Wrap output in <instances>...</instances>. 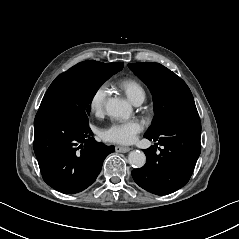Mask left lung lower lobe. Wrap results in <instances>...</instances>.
<instances>
[{
  "mask_svg": "<svg viewBox=\"0 0 239 239\" xmlns=\"http://www.w3.org/2000/svg\"><path fill=\"white\" fill-rule=\"evenodd\" d=\"M201 122L189 116L166 125L159 136H144L157 141L144 150L146 164L132 170L134 181L143 189L157 195L173 193L190 179L200 155ZM162 145L160 152L157 145Z\"/></svg>",
  "mask_w": 239,
  "mask_h": 239,
  "instance_id": "0a47b994",
  "label": "left lung lower lobe"
}]
</instances>
